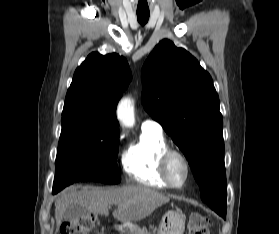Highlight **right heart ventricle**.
Masks as SVG:
<instances>
[{
	"mask_svg": "<svg viewBox=\"0 0 279 234\" xmlns=\"http://www.w3.org/2000/svg\"><path fill=\"white\" fill-rule=\"evenodd\" d=\"M168 147L162 133L142 130L139 139L131 144L122 155L125 173L144 186L168 188L159 170L160 156Z\"/></svg>",
	"mask_w": 279,
	"mask_h": 234,
	"instance_id": "e07e8e85",
	"label": "right heart ventricle"
}]
</instances>
